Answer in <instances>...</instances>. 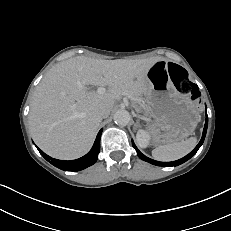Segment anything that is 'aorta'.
Masks as SVG:
<instances>
[{
    "label": "aorta",
    "mask_w": 231,
    "mask_h": 231,
    "mask_svg": "<svg viewBox=\"0 0 231 231\" xmlns=\"http://www.w3.org/2000/svg\"><path fill=\"white\" fill-rule=\"evenodd\" d=\"M131 116L127 110L120 109L117 110L114 114V121L117 125L126 126L129 124Z\"/></svg>",
    "instance_id": "obj_1"
}]
</instances>
